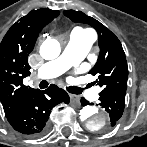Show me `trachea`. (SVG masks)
Returning a JSON list of instances; mask_svg holds the SVG:
<instances>
[{
	"label": "trachea",
	"mask_w": 147,
	"mask_h": 147,
	"mask_svg": "<svg viewBox=\"0 0 147 147\" xmlns=\"http://www.w3.org/2000/svg\"><path fill=\"white\" fill-rule=\"evenodd\" d=\"M48 86V83L46 81H42L40 83V88H46ZM90 85H87L85 88H89ZM85 88H80V87H75V86H69L67 87V91L73 94H81L83 89Z\"/></svg>",
	"instance_id": "3493384b"
}]
</instances>
